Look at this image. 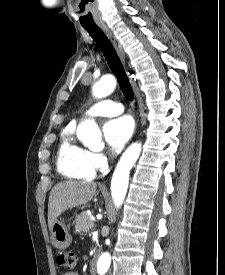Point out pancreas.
I'll use <instances>...</instances> for the list:
<instances>
[{"instance_id":"obj_1","label":"pancreas","mask_w":225,"mask_h":275,"mask_svg":"<svg viewBox=\"0 0 225 275\" xmlns=\"http://www.w3.org/2000/svg\"><path fill=\"white\" fill-rule=\"evenodd\" d=\"M94 226L93 221L86 212L80 213L76 218L75 229L81 232H87Z\"/></svg>"}]
</instances>
